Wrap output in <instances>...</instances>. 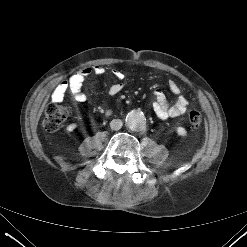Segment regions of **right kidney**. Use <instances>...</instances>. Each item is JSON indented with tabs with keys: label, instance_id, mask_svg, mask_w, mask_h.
<instances>
[{
	"label": "right kidney",
	"instance_id": "right-kidney-1",
	"mask_svg": "<svg viewBox=\"0 0 247 247\" xmlns=\"http://www.w3.org/2000/svg\"><path fill=\"white\" fill-rule=\"evenodd\" d=\"M76 127H77V124L72 123V124L67 126L66 131L67 132H72Z\"/></svg>",
	"mask_w": 247,
	"mask_h": 247
}]
</instances>
